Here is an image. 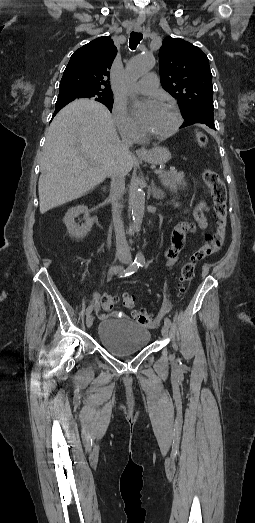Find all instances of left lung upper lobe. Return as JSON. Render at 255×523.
Returning a JSON list of instances; mask_svg holds the SVG:
<instances>
[{
    "label": "left lung upper lobe",
    "mask_w": 255,
    "mask_h": 523,
    "mask_svg": "<svg viewBox=\"0 0 255 523\" xmlns=\"http://www.w3.org/2000/svg\"><path fill=\"white\" fill-rule=\"evenodd\" d=\"M163 88L178 100L186 121L181 128L196 123L214 124L212 74L206 54L180 38L163 40L159 51Z\"/></svg>",
    "instance_id": "1"
}]
</instances>
